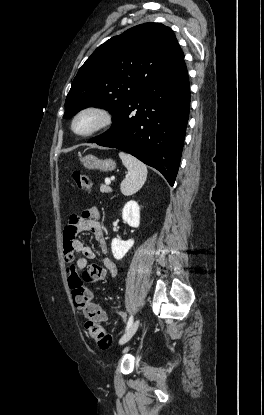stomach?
Returning a JSON list of instances; mask_svg holds the SVG:
<instances>
[{
    "label": "stomach",
    "instance_id": "0dacf381",
    "mask_svg": "<svg viewBox=\"0 0 264 415\" xmlns=\"http://www.w3.org/2000/svg\"><path fill=\"white\" fill-rule=\"evenodd\" d=\"M81 162L88 169H98L101 171H112L116 167V163L112 159L102 160L93 155L82 157Z\"/></svg>",
    "mask_w": 264,
    "mask_h": 415
}]
</instances>
